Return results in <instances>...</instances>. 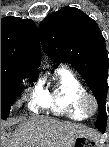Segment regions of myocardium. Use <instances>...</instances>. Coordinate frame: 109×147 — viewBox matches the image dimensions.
Wrapping results in <instances>:
<instances>
[{
    "label": "myocardium",
    "mask_w": 109,
    "mask_h": 147,
    "mask_svg": "<svg viewBox=\"0 0 109 147\" xmlns=\"http://www.w3.org/2000/svg\"><path fill=\"white\" fill-rule=\"evenodd\" d=\"M90 102L92 105H90ZM78 104L87 115H92L98 110V100L95 95L89 92H84L80 96Z\"/></svg>",
    "instance_id": "1"
}]
</instances>
